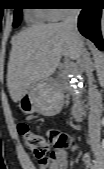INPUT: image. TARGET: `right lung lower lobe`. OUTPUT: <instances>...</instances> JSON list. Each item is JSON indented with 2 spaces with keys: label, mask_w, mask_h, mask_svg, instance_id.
<instances>
[{
  "label": "right lung lower lobe",
  "mask_w": 104,
  "mask_h": 169,
  "mask_svg": "<svg viewBox=\"0 0 104 169\" xmlns=\"http://www.w3.org/2000/svg\"><path fill=\"white\" fill-rule=\"evenodd\" d=\"M101 7L97 0L84 3V7L78 18V28L83 36L90 39L100 49H103V41L100 32Z\"/></svg>",
  "instance_id": "98d812e1"
}]
</instances>
